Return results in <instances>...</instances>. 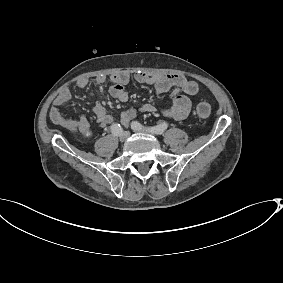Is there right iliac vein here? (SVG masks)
<instances>
[{"mask_svg": "<svg viewBox=\"0 0 283 283\" xmlns=\"http://www.w3.org/2000/svg\"><path fill=\"white\" fill-rule=\"evenodd\" d=\"M128 137H129V132L128 131H123L120 134L119 139H120L121 142H124Z\"/></svg>", "mask_w": 283, "mask_h": 283, "instance_id": "obj_1", "label": "right iliac vein"}]
</instances>
